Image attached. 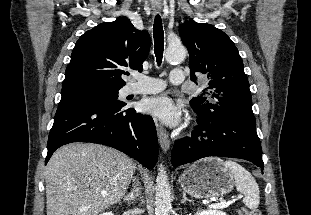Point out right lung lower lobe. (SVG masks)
<instances>
[{
  "label": "right lung lower lobe",
  "instance_id": "obj_1",
  "mask_svg": "<svg viewBox=\"0 0 311 215\" xmlns=\"http://www.w3.org/2000/svg\"><path fill=\"white\" fill-rule=\"evenodd\" d=\"M72 142L113 147L147 168H153L157 162L154 121L133 108H101L88 104L59 106L49 134L45 164L57 148Z\"/></svg>",
  "mask_w": 311,
  "mask_h": 215
}]
</instances>
